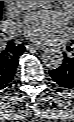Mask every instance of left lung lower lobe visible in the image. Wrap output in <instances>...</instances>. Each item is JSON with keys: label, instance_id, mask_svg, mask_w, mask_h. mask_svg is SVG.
Returning a JSON list of instances; mask_svg holds the SVG:
<instances>
[{"label": "left lung lower lobe", "instance_id": "obj_1", "mask_svg": "<svg viewBox=\"0 0 74 122\" xmlns=\"http://www.w3.org/2000/svg\"><path fill=\"white\" fill-rule=\"evenodd\" d=\"M67 49L72 51L71 55L64 54L63 64L50 71V76L63 89L74 90V46L73 48L67 47Z\"/></svg>", "mask_w": 74, "mask_h": 122}]
</instances>
